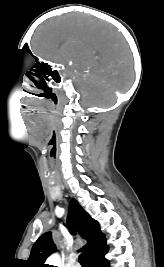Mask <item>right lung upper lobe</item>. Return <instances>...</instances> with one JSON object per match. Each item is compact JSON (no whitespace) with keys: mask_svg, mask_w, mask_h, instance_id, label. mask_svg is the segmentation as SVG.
I'll return each mask as SVG.
<instances>
[{"mask_svg":"<svg viewBox=\"0 0 164 267\" xmlns=\"http://www.w3.org/2000/svg\"><path fill=\"white\" fill-rule=\"evenodd\" d=\"M67 223L72 232L76 223L80 235L87 240L83 249L86 251L88 259L108 249L98 222L92 219L74 198L69 204ZM55 250L56 246L52 240L51 232L43 234L32 247L28 265L30 267H46L44 264L46 258Z\"/></svg>","mask_w":164,"mask_h":267,"instance_id":"1","label":"right lung upper lobe"}]
</instances>
